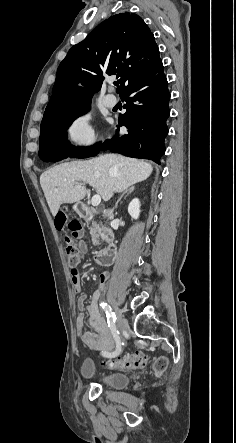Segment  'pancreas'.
I'll use <instances>...</instances> for the list:
<instances>
[{
	"label": "pancreas",
	"mask_w": 236,
	"mask_h": 443,
	"mask_svg": "<svg viewBox=\"0 0 236 443\" xmlns=\"http://www.w3.org/2000/svg\"><path fill=\"white\" fill-rule=\"evenodd\" d=\"M90 235L93 245H99V239L105 236V228L102 225L92 221V225L89 227Z\"/></svg>",
	"instance_id": "pancreas-1"
}]
</instances>
